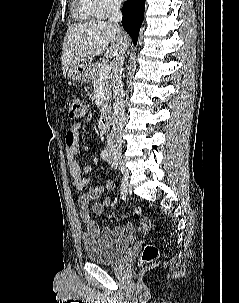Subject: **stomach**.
<instances>
[{
	"mask_svg": "<svg viewBox=\"0 0 239 303\" xmlns=\"http://www.w3.org/2000/svg\"><path fill=\"white\" fill-rule=\"evenodd\" d=\"M68 75L74 81L88 82L90 80V73L87 60L72 64L68 69Z\"/></svg>",
	"mask_w": 239,
	"mask_h": 303,
	"instance_id": "stomach-1",
	"label": "stomach"
}]
</instances>
